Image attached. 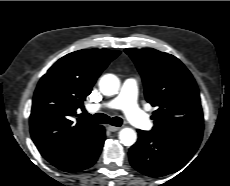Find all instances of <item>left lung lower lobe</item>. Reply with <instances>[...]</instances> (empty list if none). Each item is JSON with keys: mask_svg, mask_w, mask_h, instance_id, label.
I'll list each match as a JSON object with an SVG mask.
<instances>
[{"mask_svg": "<svg viewBox=\"0 0 230 186\" xmlns=\"http://www.w3.org/2000/svg\"><path fill=\"white\" fill-rule=\"evenodd\" d=\"M199 144L138 130V141L130 148L129 160L137 171L150 177H161L184 167Z\"/></svg>", "mask_w": 230, "mask_h": 186, "instance_id": "obj_1", "label": "left lung lower lobe"}]
</instances>
